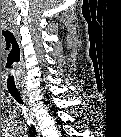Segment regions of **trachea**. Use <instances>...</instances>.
<instances>
[{
    "mask_svg": "<svg viewBox=\"0 0 121 137\" xmlns=\"http://www.w3.org/2000/svg\"><path fill=\"white\" fill-rule=\"evenodd\" d=\"M4 36L7 42V46L10 50V53L7 57L4 66V78L8 88L9 93L19 102L21 103L22 100L20 98L19 92L16 88V78L17 74L15 71V67L20 61V48L13 31L11 24L6 20L5 23V31Z\"/></svg>",
    "mask_w": 121,
    "mask_h": 137,
    "instance_id": "trachea-1",
    "label": "trachea"
}]
</instances>
